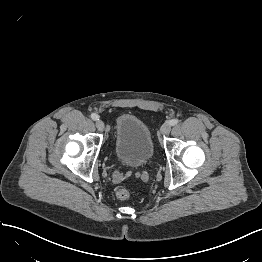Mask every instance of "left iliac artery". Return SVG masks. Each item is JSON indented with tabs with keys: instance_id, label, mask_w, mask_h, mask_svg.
Returning a JSON list of instances; mask_svg holds the SVG:
<instances>
[{
	"instance_id": "44dca946",
	"label": "left iliac artery",
	"mask_w": 262,
	"mask_h": 262,
	"mask_svg": "<svg viewBox=\"0 0 262 262\" xmlns=\"http://www.w3.org/2000/svg\"><path fill=\"white\" fill-rule=\"evenodd\" d=\"M179 120L178 119H172V120H169L168 124L171 125V126H174L176 124H178Z\"/></svg>"
}]
</instances>
